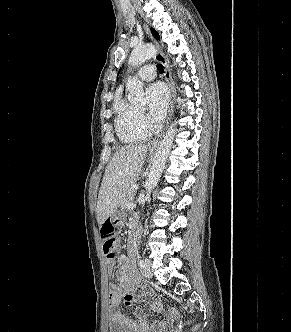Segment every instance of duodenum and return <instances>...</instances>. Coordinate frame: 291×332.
Instances as JSON below:
<instances>
[{
  "instance_id": "obj_1",
  "label": "duodenum",
  "mask_w": 291,
  "mask_h": 332,
  "mask_svg": "<svg viewBox=\"0 0 291 332\" xmlns=\"http://www.w3.org/2000/svg\"><path fill=\"white\" fill-rule=\"evenodd\" d=\"M131 227H132V228H135V227H136V222H135V221H132V222H131ZM133 246H134V242L131 241V242H130V248H131V250L133 249Z\"/></svg>"
}]
</instances>
